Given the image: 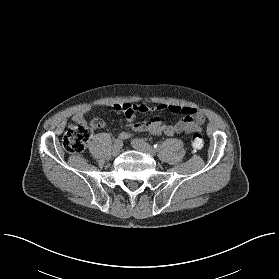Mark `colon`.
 <instances>
[{
  "mask_svg": "<svg viewBox=\"0 0 279 279\" xmlns=\"http://www.w3.org/2000/svg\"><path fill=\"white\" fill-rule=\"evenodd\" d=\"M139 107V105H131V111L133 113H138L140 111ZM99 123V120L93 119L90 125L83 121L70 124L63 136V146L65 150L69 153L82 152L93 135L95 125ZM190 142L194 149H200L204 145L203 136L199 132L193 133Z\"/></svg>",
  "mask_w": 279,
  "mask_h": 279,
  "instance_id": "obj_1",
  "label": "colon"
}]
</instances>
